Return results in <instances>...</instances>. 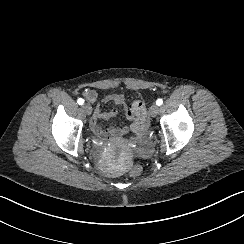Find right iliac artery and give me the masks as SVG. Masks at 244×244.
<instances>
[{
  "label": "right iliac artery",
  "instance_id": "obj_1",
  "mask_svg": "<svg viewBox=\"0 0 244 244\" xmlns=\"http://www.w3.org/2000/svg\"><path fill=\"white\" fill-rule=\"evenodd\" d=\"M77 102H78L79 105H82V104L84 103V100H83L82 98H79V99L77 100Z\"/></svg>",
  "mask_w": 244,
  "mask_h": 244
}]
</instances>
